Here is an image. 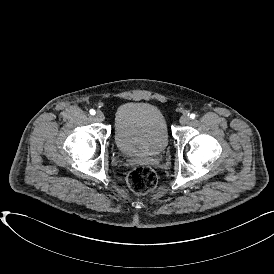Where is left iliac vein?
<instances>
[{
	"label": "left iliac vein",
	"mask_w": 274,
	"mask_h": 274,
	"mask_svg": "<svg viewBox=\"0 0 274 274\" xmlns=\"http://www.w3.org/2000/svg\"><path fill=\"white\" fill-rule=\"evenodd\" d=\"M179 121L182 125H187L190 122V117L188 115H183L180 117Z\"/></svg>",
	"instance_id": "1"
}]
</instances>
